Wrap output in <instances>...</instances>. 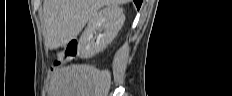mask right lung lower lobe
I'll return each mask as SVG.
<instances>
[{
	"mask_svg": "<svg viewBox=\"0 0 232 96\" xmlns=\"http://www.w3.org/2000/svg\"><path fill=\"white\" fill-rule=\"evenodd\" d=\"M133 1L136 4L137 9H139L143 0H133Z\"/></svg>",
	"mask_w": 232,
	"mask_h": 96,
	"instance_id": "obj_1",
	"label": "right lung lower lobe"
}]
</instances>
